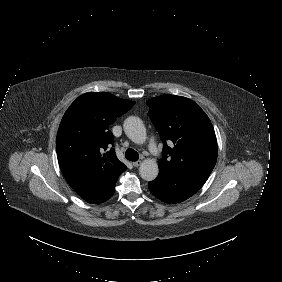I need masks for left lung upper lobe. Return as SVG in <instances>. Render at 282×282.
<instances>
[{
    "mask_svg": "<svg viewBox=\"0 0 282 282\" xmlns=\"http://www.w3.org/2000/svg\"><path fill=\"white\" fill-rule=\"evenodd\" d=\"M146 103L163 140L159 170L211 173L217 160V140L204 111L188 98L168 94Z\"/></svg>",
    "mask_w": 282,
    "mask_h": 282,
    "instance_id": "1",
    "label": "left lung upper lobe"
}]
</instances>
